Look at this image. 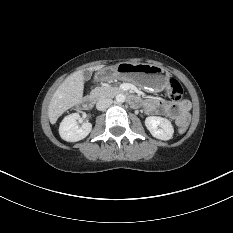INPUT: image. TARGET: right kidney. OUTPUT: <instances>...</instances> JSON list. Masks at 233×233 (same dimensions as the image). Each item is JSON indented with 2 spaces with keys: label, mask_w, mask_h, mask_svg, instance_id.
Listing matches in <instances>:
<instances>
[{
  "label": "right kidney",
  "mask_w": 233,
  "mask_h": 233,
  "mask_svg": "<svg viewBox=\"0 0 233 233\" xmlns=\"http://www.w3.org/2000/svg\"><path fill=\"white\" fill-rule=\"evenodd\" d=\"M79 117V113H72L62 120L59 127V134L63 140L77 142L87 137L91 132V123L86 122L82 126L77 125L76 120Z\"/></svg>",
  "instance_id": "obj_1"
}]
</instances>
